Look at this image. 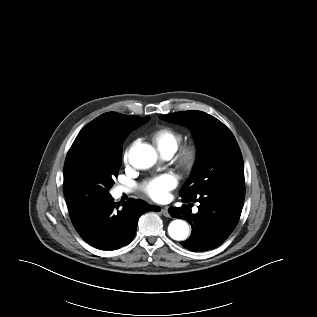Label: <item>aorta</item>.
<instances>
[{"instance_id": "aorta-1", "label": "aorta", "mask_w": 317, "mask_h": 317, "mask_svg": "<svg viewBox=\"0 0 317 317\" xmlns=\"http://www.w3.org/2000/svg\"><path fill=\"white\" fill-rule=\"evenodd\" d=\"M128 157L133 167L137 169H149L157 162L158 155L151 145L141 144L132 147ZM189 232V225L181 219L173 220L168 226L169 236L176 241L187 239Z\"/></svg>"}]
</instances>
